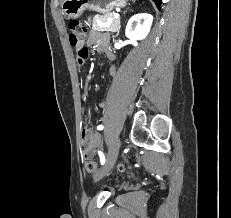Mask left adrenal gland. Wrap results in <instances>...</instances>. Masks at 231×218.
I'll list each match as a JSON object with an SVG mask.
<instances>
[{
  "instance_id": "1",
  "label": "left adrenal gland",
  "mask_w": 231,
  "mask_h": 218,
  "mask_svg": "<svg viewBox=\"0 0 231 218\" xmlns=\"http://www.w3.org/2000/svg\"><path fill=\"white\" fill-rule=\"evenodd\" d=\"M119 30H120V27H119V29L117 30L116 36H118V34H119Z\"/></svg>"
}]
</instances>
